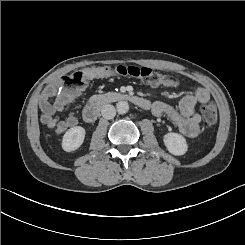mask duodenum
Returning <instances> with one entry per match:
<instances>
[{"label":"duodenum","instance_id":"1","mask_svg":"<svg viewBox=\"0 0 245 245\" xmlns=\"http://www.w3.org/2000/svg\"><path fill=\"white\" fill-rule=\"evenodd\" d=\"M127 101L142 109H150L152 104L145 98L129 94V93H117L110 92L101 94L92 98L83 110V118L86 122H94L100 115L101 110L108 104Z\"/></svg>","mask_w":245,"mask_h":245}]
</instances>
